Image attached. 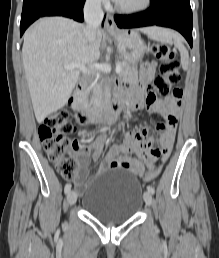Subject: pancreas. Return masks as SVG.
I'll use <instances>...</instances> for the list:
<instances>
[{
  "label": "pancreas",
  "instance_id": "obj_1",
  "mask_svg": "<svg viewBox=\"0 0 219 258\" xmlns=\"http://www.w3.org/2000/svg\"><path fill=\"white\" fill-rule=\"evenodd\" d=\"M116 65H120L122 71L119 73V77L124 81H128L134 79L137 76V67L135 65H131L127 61L117 62ZM102 100V90L100 85H96L94 89L93 96L90 100H88V104L98 106Z\"/></svg>",
  "mask_w": 219,
  "mask_h": 258
}]
</instances>
